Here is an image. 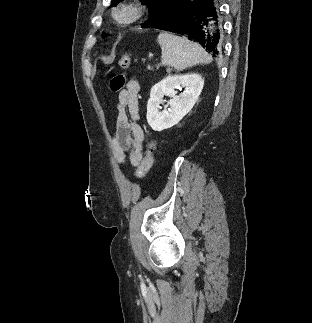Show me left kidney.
Masks as SVG:
<instances>
[{"label": "left kidney", "mask_w": 312, "mask_h": 323, "mask_svg": "<svg viewBox=\"0 0 312 323\" xmlns=\"http://www.w3.org/2000/svg\"><path fill=\"white\" fill-rule=\"evenodd\" d=\"M204 86L200 74H185V76H167L151 88L150 100L147 104V122L155 132H162L178 124L198 100ZM184 88L181 96H176L175 90ZM164 96L172 100L167 102L160 112L159 104H164Z\"/></svg>", "instance_id": "obj_1"}]
</instances>
